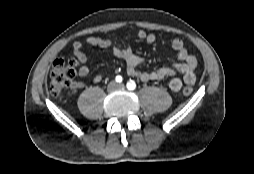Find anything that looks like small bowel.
I'll use <instances>...</instances> for the list:
<instances>
[{
  "label": "small bowel",
  "instance_id": "c3829d8e",
  "mask_svg": "<svg viewBox=\"0 0 254 174\" xmlns=\"http://www.w3.org/2000/svg\"><path fill=\"white\" fill-rule=\"evenodd\" d=\"M134 37L138 40L146 41L149 44H153L157 40L154 34L147 33L144 30H138ZM84 45L110 49L116 57L125 61L127 74L138 77L143 82L161 81L168 78L169 87L173 91H179L182 88L183 83L193 85L196 82V58L187 51L184 42L180 39H174L171 42V47L176 52L173 68L162 67L148 72L139 71L137 69V67L144 62V59L135 54L130 46H123L110 38H100L95 36L86 37L83 41H76L73 44L72 58L77 75L81 78L88 76L90 72L87 56L82 52ZM177 72L183 75V79L177 77ZM102 79L103 75L98 74L94 77L93 81L98 83ZM83 86L84 82L82 80H76L71 83L70 88L72 90H78Z\"/></svg>",
  "mask_w": 254,
  "mask_h": 174
}]
</instances>
